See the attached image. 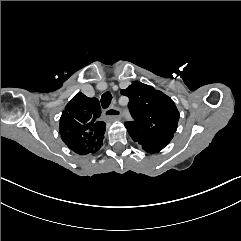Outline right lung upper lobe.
Here are the masks:
<instances>
[{"label": "right lung upper lobe", "instance_id": "right-lung-upper-lobe-1", "mask_svg": "<svg viewBox=\"0 0 241 241\" xmlns=\"http://www.w3.org/2000/svg\"><path fill=\"white\" fill-rule=\"evenodd\" d=\"M98 99L78 93L65 107L59 131L64 143L75 153H96L103 144L106 124L100 121Z\"/></svg>", "mask_w": 241, "mask_h": 241}]
</instances>
